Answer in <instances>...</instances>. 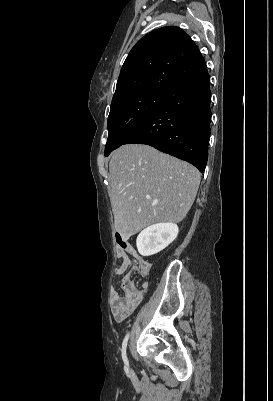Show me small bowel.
Segmentation results:
<instances>
[{
	"label": "small bowel",
	"mask_w": 273,
	"mask_h": 401,
	"mask_svg": "<svg viewBox=\"0 0 273 401\" xmlns=\"http://www.w3.org/2000/svg\"><path fill=\"white\" fill-rule=\"evenodd\" d=\"M119 245H126L127 251L130 252V259L119 260V263L115 267V273L117 275L120 271H127L122 270V261H135V263L137 259H139L140 261H145L136 253V251L130 244L126 242H121ZM128 278H132V275L129 274ZM144 283L145 289L147 290L148 284L146 282ZM111 302L112 316L116 322L121 323L129 318L140 304H143L145 302L144 291L139 290V286L137 284H124L123 290H117L115 288L111 289Z\"/></svg>",
	"instance_id": "c3829d8e"
}]
</instances>
